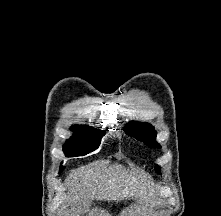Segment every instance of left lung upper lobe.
<instances>
[{
	"label": "left lung upper lobe",
	"instance_id": "5c2ea615",
	"mask_svg": "<svg viewBox=\"0 0 221 216\" xmlns=\"http://www.w3.org/2000/svg\"><path fill=\"white\" fill-rule=\"evenodd\" d=\"M124 131L130 135L135 137L136 139H139L143 142H145L147 145L160 148L161 146L155 141L156 132L154 131V127L147 123H138L135 121H132L128 123L124 127ZM155 170L157 173L160 172L159 166L155 167Z\"/></svg>",
	"mask_w": 221,
	"mask_h": 216
}]
</instances>
